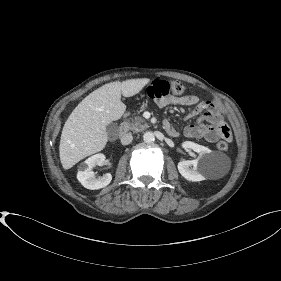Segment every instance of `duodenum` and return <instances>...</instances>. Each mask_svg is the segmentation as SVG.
<instances>
[{
	"label": "duodenum",
	"instance_id": "duodenum-1",
	"mask_svg": "<svg viewBox=\"0 0 281 281\" xmlns=\"http://www.w3.org/2000/svg\"><path fill=\"white\" fill-rule=\"evenodd\" d=\"M128 131V123L126 120H123L119 127V135H124Z\"/></svg>",
	"mask_w": 281,
	"mask_h": 281
}]
</instances>
